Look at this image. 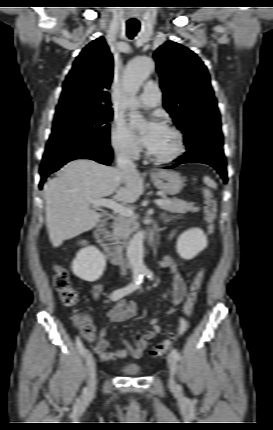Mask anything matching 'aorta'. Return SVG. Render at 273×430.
<instances>
[{"label": "aorta", "instance_id": "obj_1", "mask_svg": "<svg viewBox=\"0 0 273 430\" xmlns=\"http://www.w3.org/2000/svg\"><path fill=\"white\" fill-rule=\"evenodd\" d=\"M154 68L153 60L149 57H141L132 60L125 72L124 90L128 95L130 117L136 121L142 120V115L135 107V97L142 83L149 77ZM144 231H138L130 240L127 247V258L134 273H143L147 270L144 264L143 242Z\"/></svg>", "mask_w": 273, "mask_h": 430}]
</instances>
